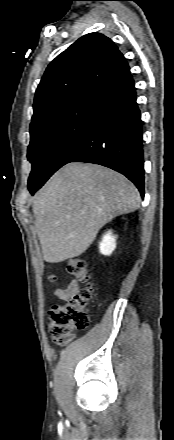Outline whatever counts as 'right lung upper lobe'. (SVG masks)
Wrapping results in <instances>:
<instances>
[{
    "instance_id": "obj_1",
    "label": "right lung upper lobe",
    "mask_w": 174,
    "mask_h": 440,
    "mask_svg": "<svg viewBox=\"0 0 174 440\" xmlns=\"http://www.w3.org/2000/svg\"><path fill=\"white\" fill-rule=\"evenodd\" d=\"M129 71L110 38L96 32L82 36L47 67L35 93L31 124L82 96L95 94Z\"/></svg>"
}]
</instances>
